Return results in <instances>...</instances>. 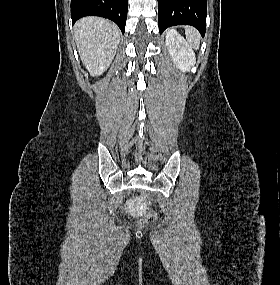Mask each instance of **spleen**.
<instances>
[{
	"label": "spleen",
	"instance_id": "spleen-1",
	"mask_svg": "<svg viewBox=\"0 0 280 285\" xmlns=\"http://www.w3.org/2000/svg\"><path fill=\"white\" fill-rule=\"evenodd\" d=\"M185 33L187 36V40L191 44V46L194 48H198L199 43H200L199 33L192 27H187L185 29Z\"/></svg>",
	"mask_w": 280,
	"mask_h": 285
}]
</instances>
